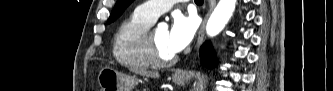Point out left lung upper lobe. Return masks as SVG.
Listing matches in <instances>:
<instances>
[{"mask_svg":"<svg viewBox=\"0 0 333 91\" xmlns=\"http://www.w3.org/2000/svg\"><path fill=\"white\" fill-rule=\"evenodd\" d=\"M133 0H117L116 5L108 19V24L115 21L123 12L124 10L127 8V6L130 5V3Z\"/></svg>","mask_w":333,"mask_h":91,"instance_id":"1","label":"left lung upper lobe"}]
</instances>
